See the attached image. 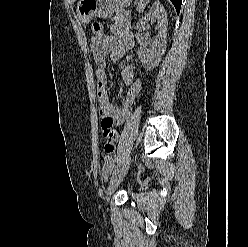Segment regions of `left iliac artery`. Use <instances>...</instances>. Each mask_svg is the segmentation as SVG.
Returning a JSON list of instances; mask_svg holds the SVG:
<instances>
[{
  "mask_svg": "<svg viewBox=\"0 0 248 247\" xmlns=\"http://www.w3.org/2000/svg\"><path fill=\"white\" fill-rule=\"evenodd\" d=\"M118 170H119V167L117 166V167L115 168V170L113 171L112 177H114V176L116 175V173L118 172ZM111 179H112V178H111Z\"/></svg>",
  "mask_w": 248,
  "mask_h": 247,
  "instance_id": "1",
  "label": "left iliac artery"
}]
</instances>
